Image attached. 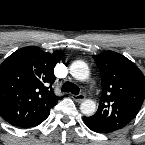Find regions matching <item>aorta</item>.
Returning a JSON list of instances; mask_svg holds the SVG:
<instances>
[{
	"label": "aorta",
	"mask_w": 145,
	"mask_h": 145,
	"mask_svg": "<svg viewBox=\"0 0 145 145\" xmlns=\"http://www.w3.org/2000/svg\"><path fill=\"white\" fill-rule=\"evenodd\" d=\"M89 67L82 60L74 61L70 66V74L78 81H85L89 77ZM81 112L86 116H91L96 111V104L93 100H85L80 105Z\"/></svg>",
	"instance_id": "obj_1"
}]
</instances>
